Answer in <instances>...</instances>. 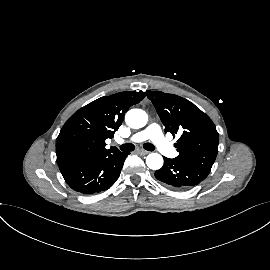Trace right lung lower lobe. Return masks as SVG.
I'll use <instances>...</instances> for the list:
<instances>
[{
	"instance_id": "obj_1",
	"label": "right lung lower lobe",
	"mask_w": 270,
	"mask_h": 270,
	"mask_svg": "<svg viewBox=\"0 0 270 270\" xmlns=\"http://www.w3.org/2000/svg\"><path fill=\"white\" fill-rule=\"evenodd\" d=\"M128 154L116 151L59 168L73 190L83 194L98 193L109 189L116 182Z\"/></svg>"
}]
</instances>
